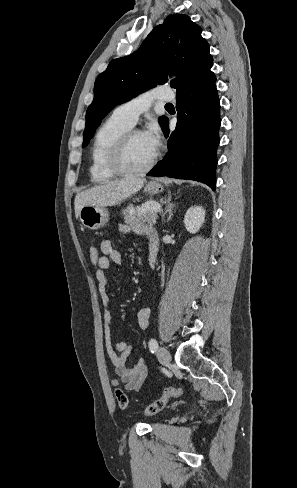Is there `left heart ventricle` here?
Returning a JSON list of instances; mask_svg holds the SVG:
<instances>
[{"instance_id":"left-heart-ventricle-1","label":"left heart ventricle","mask_w":297,"mask_h":488,"mask_svg":"<svg viewBox=\"0 0 297 488\" xmlns=\"http://www.w3.org/2000/svg\"><path fill=\"white\" fill-rule=\"evenodd\" d=\"M155 152L145 140L143 133L135 134L127 147L125 164L129 168H141L147 165L154 157Z\"/></svg>"}]
</instances>
